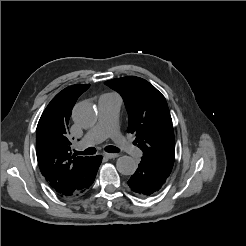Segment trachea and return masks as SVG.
<instances>
[{"label":"trachea","mask_w":246,"mask_h":246,"mask_svg":"<svg viewBox=\"0 0 246 246\" xmlns=\"http://www.w3.org/2000/svg\"><path fill=\"white\" fill-rule=\"evenodd\" d=\"M106 152L109 153H118L120 152V149L115 147V146H106L105 148ZM76 155H93L96 153V149L94 147H89L86 150L80 152V151H75Z\"/></svg>","instance_id":"trachea-1"}]
</instances>
